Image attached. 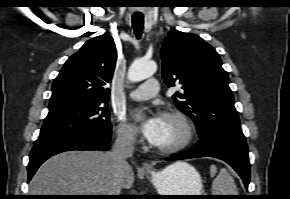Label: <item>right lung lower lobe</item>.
<instances>
[{
	"mask_svg": "<svg viewBox=\"0 0 290 199\" xmlns=\"http://www.w3.org/2000/svg\"><path fill=\"white\" fill-rule=\"evenodd\" d=\"M110 131H78L70 134L39 137L31 152L27 166L28 182L40 165L48 158L71 150H107L110 147Z\"/></svg>",
	"mask_w": 290,
	"mask_h": 199,
	"instance_id": "obj_1",
	"label": "right lung lower lobe"
}]
</instances>
